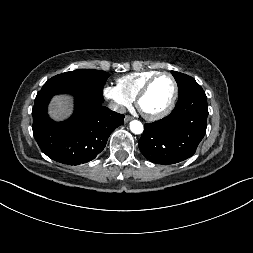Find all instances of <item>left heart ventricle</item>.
Wrapping results in <instances>:
<instances>
[{"label": "left heart ventricle", "instance_id": "left-heart-ventricle-1", "mask_svg": "<svg viewBox=\"0 0 253 253\" xmlns=\"http://www.w3.org/2000/svg\"><path fill=\"white\" fill-rule=\"evenodd\" d=\"M173 95V83L168 76L158 78L140 102V107L147 114H156L164 110Z\"/></svg>", "mask_w": 253, "mask_h": 253}]
</instances>
